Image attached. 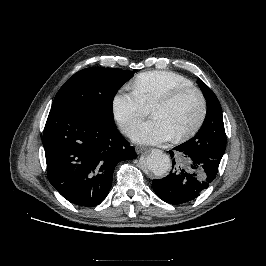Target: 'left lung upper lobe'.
<instances>
[{"label":"left lung upper lobe","instance_id":"5c2ea615","mask_svg":"<svg viewBox=\"0 0 266 266\" xmlns=\"http://www.w3.org/2000/svg\"><path fill=\"white\" fill-rule=\"evenodd\" d=\"M207 102L204 123L196 136L183 143L189 150L221 160L226 148V134L222 109L214 92L202 81H197Z\"/></svg>","mask_w":266,"mask_h":266}]
</instances>
